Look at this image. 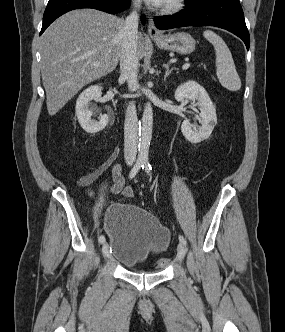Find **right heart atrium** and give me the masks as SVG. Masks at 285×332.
<instances>
[{
	"mask_svg": "<svg viewBox=\"0 0 285 332\" xmlns=\"http://www.w3.org/2000/svg\"><path fill=\"white\" fill-rule=\"evenodd\" d=\"M133 4L138 6L140 4V0H132Z\"/></svg>",
	"mask_w": 285,
	"mask_h": 332,
	"instance_id": "obj_1",
	"label": "right heart atrium"
}]
</instances>
